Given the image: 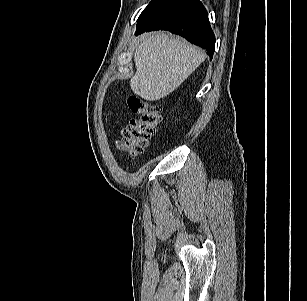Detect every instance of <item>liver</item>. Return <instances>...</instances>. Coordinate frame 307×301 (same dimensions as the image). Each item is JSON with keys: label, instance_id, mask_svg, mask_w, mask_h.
I'll return each mask as SVG.
<instances>
[{"label": "liver", "instance_id": "liver-1", "mask_svg": "<svg viewBox=\"0 0 307 301\" xmlns=\"http://www.w3.org/2000/svg\"><path fill=\"white\" fill-rule=\"evenodd\" d=\"M205 52L180 37L152 32L140 37L134 53L132 91L154 101L166 97L205 60Z\"/></svg>", "mask_w": 307, "mask_h": 301}]
</instances>
